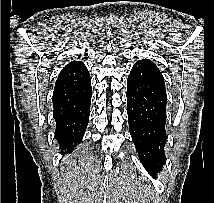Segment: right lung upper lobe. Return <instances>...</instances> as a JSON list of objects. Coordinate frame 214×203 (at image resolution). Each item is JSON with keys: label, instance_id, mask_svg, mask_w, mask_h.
<instances>
[{"label": "right lung upper lobe", "instance_id": "right-lung-upper-lobe-1", "mask_svg": "<svg viewBox=\"0 0 214 203\" xmlns=\"http://www.w3.org/2000/svg\"><path fill=\"white\" fill-rule=\"evenodd\" d=\"M81 64V62H78V61H71L68 65H66L63 70L61 71L62 72H65L67 70H70L74 67H76L77 65Z\"/></svg>", "mask_w": 214, "mask_h": 203}]
</instances>
